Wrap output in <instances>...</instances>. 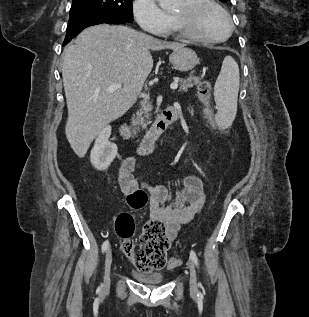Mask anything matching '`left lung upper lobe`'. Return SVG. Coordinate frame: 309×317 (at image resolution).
<instances>
[{"label": "left lung upper lobe", "mask_w": 309, "mask_h": 317, "mask_svg": "<svg viewBox=\"0 0 309 317\" xmlns=\"http://www.w3.org/2000/svg\"><path fill=\"white\" fill-rule=\"evenodd\" d=\"M220 1H222V2H227V1H230V0H220Z\"/></svg>", "instance_id": "5c2ea615"}]
</instances>
